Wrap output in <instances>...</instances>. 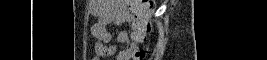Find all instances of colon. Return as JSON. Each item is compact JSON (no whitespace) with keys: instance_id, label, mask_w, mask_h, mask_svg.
<instances>
[{"instance_id":"obj_1","label":"colon","mask_w":267,"mask_h":60,"mask_svg":"<svg viewBox=\"0 0 267 60\" xmlns=\"http://www.w3.org/2000/svg\"><path fill=\"white\" fill-rule=\"evenodd\" d=\"M125 2L130 8L136 29L142 34L140 43L142 46L135 48L134 59H143L147 50L145 41L153 28L151 17L154 13V4L152 0H126Z\"/></svg>"}]
</instances>
